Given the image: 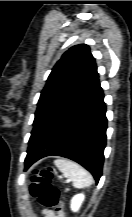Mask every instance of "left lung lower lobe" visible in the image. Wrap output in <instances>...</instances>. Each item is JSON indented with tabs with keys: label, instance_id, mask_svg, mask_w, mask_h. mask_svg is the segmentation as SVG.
Listing matches in <instances>:
<instances>
[{
	"label": "left lung lower lobe",
	"instance_id": "0a47b994",
	"mask_svg": "<svg viewBox=\"0 0 132 217\" xmlns=\"http://www.w3.org/2000/svg\"><path fill=\"white\" fill-rule=\"evenodd\" d=\"M103 98L97 76L28 152L25 169L43 157L57 155L81 164L98 182L102 174L107 129Z\"/></svg>",
	"mask_w": 132,
	"mask_h": 217
}]
</instances>
